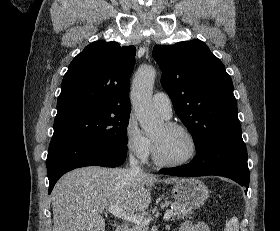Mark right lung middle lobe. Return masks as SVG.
<instances>
[{
    "label": "right lung middle lobe",
    "instance_id": "1",
    "mask_svg": "<svg viewBox=\"0 0 280 231\" xmlns=\"http://www.w3.org/2000/svg\"><path fill=\"white\" fill-rule=\"evenodd\" d=\"M129 113H105L54 121L56 137L84 139L104 147L118 148L127 153Z\"/></svg>",
    "mask_w": 280,
    "mask_h": 231
}]
</instances>
